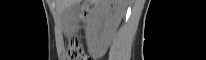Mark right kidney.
<instances>
[{
  "mask_svg": "<svg viewBox=\"0 0 206 60\" xmlns=\"http://www.w3.org/2000/svg\"><path fill=\"white\" fill-rule=\"evenodd\" d=\"M120 0H102L95 6L89 28V44L98 50H105L116 31L123 15Z\"/></svg>",
  "mask_w": 206,
  "mask_h": 60,
  "instance_id": "obj_1",
  "label": "right kidney"
}]
</instances>
